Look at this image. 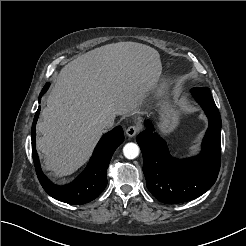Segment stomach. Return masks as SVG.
<instances>
[{
    "instance_id": "stomach-1",
    "label": "stomach",
    "mask_w": 246,
    "mask_h": 246,
    "mask_svg": "<svg viewBox=\"0 0 246 246\" xmlns=\"http://www.w3.org/2000/svg\"><path fill=\"white\" fill-rule=\"evenodd\" d=\"M161 94H167V87H160ZM159 114V130L163 135H169L173 132L180 123V114L175 109L174 105L167 101L163 103L158 111Z\"/></svg>"
}]
</instances>
